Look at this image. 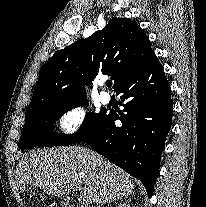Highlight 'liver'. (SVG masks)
<instances>
[{
  "label": "liver",
  "mask_w": 206,
  "mask_h": 207,
  "mask_svg": "<svg viewBox=\"0 0 206 207\" xmlns=\"http://www.w3.org/2000/svg\"><path fill=\"white\" fill-rule=\"evenodd\" d=\"M16 178L21 191L34 184L56 197L68 196L76 184L89 204L122 199L135 187L122 169L80 146L33 150L19 161Z\"/></svg>",
  "instance_id": "1"
}]
</instances>
